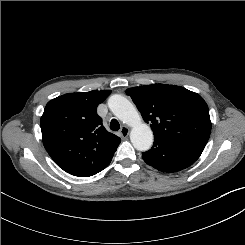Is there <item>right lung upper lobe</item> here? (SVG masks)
Segmentation results:
<instances>
[{"mask_svg": "<svg viewBox=\"0 0 245 245\" xmlns=\"http://www.w3.org/2000/svg\"><path fill=\"white\" fill-rule=\"evenodd\" d=\"M111 90L69 93L49 101L40 120L44 147L64 171L89 177L109 165L121 139L96 113Z\"/></svg>", "mask_w": 245, "mask_h": 245, "instance_id": "cb5924a9", "label": "right lung upper lobe"}]
</instances>
